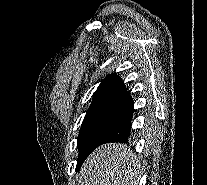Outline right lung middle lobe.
<instances>
[{
  "mask_svg": "<svg viewBox=\"0 0 207 185\" xmlns=\"http://www.w3.org/2000/svg\"><path fill=\"white\" fill-rule=\"evenodd\" d=\"M124 113L113 110L87 111L77 140L79 149L77 171L87 156L97 147L100 139L120 120Z\"/></svg>",
  "mask_w": 207,
  "mask_h": 185,
  "instance_id": "right-lung-middle-lobe-1",
  "label": "right lung middle lobe"
}]
</instances>
